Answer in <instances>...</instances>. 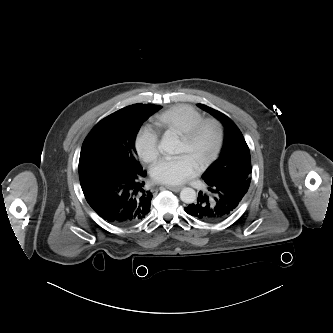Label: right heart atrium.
Masks as SVG:
<instances>
[{
    "label": "right heart atrium",
    "instance_id": "right-heart-atrium-1",
    "mask_svg": "<svg viewBox=\"0 0 333 333\" xmlns=\"http://www.w3.org/2000/svg\"><path fill=\"white\" fill-rule=\"evenodd\" d=\"M159 140L157 134L149 128L139 131L135 139V148L142 161L151 163L159 156Z\"/></svg>",
    "mask_w": 333,
    "mask_h": 333
}]
</instances>
